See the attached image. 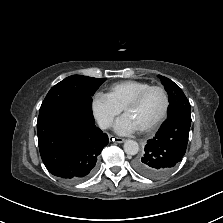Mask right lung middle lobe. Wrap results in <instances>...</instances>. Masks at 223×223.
Masks as SVG:
<instances>
[{
    "label": "right lung middle lobe",
    "mask_w": 223,
    "mask_h": 223,
    "mask_svg": "<svg viewBox=\"0 0 223 223\" xmlns=\"http://www.w3.org/2000/svg\"><path fill=\"white\" fill-rule=\"evenodd\" d=\"M105 80V78L82 75L69 76L51 88L40 107V111L68 100L92 109V96Z\"/></svg>",
    "instance_id": "right-lung-middle-lobe-1"
}]
</instances>
